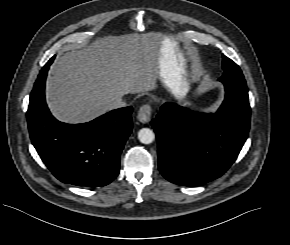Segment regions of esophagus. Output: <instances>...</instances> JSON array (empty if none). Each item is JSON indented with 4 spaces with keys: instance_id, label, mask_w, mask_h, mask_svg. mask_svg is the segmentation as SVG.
<instances>
[{
    "instance_id": "esophagus-1",
    "label": "esophagus",
    "mask_w": 290,
    "mask_h": 245,
    "mask_svg": "<svg viewBox=\"0 0 290 245\" xmlns=\"http://www.w3.org/2000/svg\"><path fill=\"white\" fill-rule=\"evenodd\" d=\"M152 114V108L149 104H144L140 107L137 115V119L142 123H147L150 121Z\"/></svg>"
}]
</instances>
